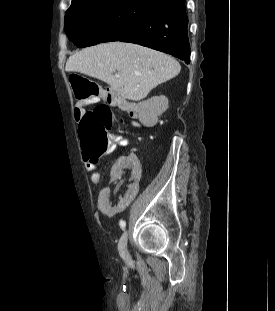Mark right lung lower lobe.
I'll list each match as a JSON object with an SVG mask.
<instances>
[{
	"label": "right lung lower lobe",
	"mask_w": 275,
	"mask_h": 311,
	"mask_svg": "<svg viewBox=\"0 0 275 311\" xmlns=\"http://www.w3.org/2000/svg\"><path fill=\"white\" fill-rule=\"evenodd\" d=\"M185 0L162 2L139 18L115 41L140 44L190 63Z\"/></svg>",
	"instance_id": "right-lung-lower-lobe-1"
}]
</instances>
